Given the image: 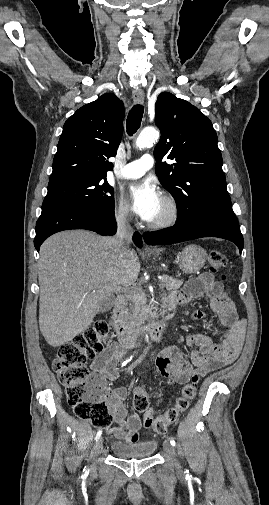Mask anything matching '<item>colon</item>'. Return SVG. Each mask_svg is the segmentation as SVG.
<instances>
[{
  "label": "colon",
  "instance_id": "1",
  "mask_svg": "<svg viewBox=\"0 0 269 505\" xmlns=\"http://www.w3.org/2000/svg\"><path fill=\"white\" fill-rule=\"evenodd\" d=\"M226 263V256L221 251L210 252L211 272H218ZM109 341V325L105 321H97L72 341L63 344L52 362L58 380L65 386L67 402L74 413L97 428H108L112 418L103 399V381L97 374L89 372L86 363L100 354ZM199 377V374H194L191 382L183 387L174 406L158 416H154L149 409L147 393L142 389L136 390L133 405L136 411L143 413L144 426L158 434L165 433L173 426L196 396Z\"/></svg>",
  "mask_w": 269,
  "mask_h": 505
}]
</instances>
